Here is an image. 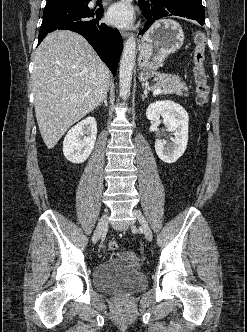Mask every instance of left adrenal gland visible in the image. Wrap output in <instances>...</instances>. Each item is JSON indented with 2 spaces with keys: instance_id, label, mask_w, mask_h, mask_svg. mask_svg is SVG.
Returning a JSON list of instances; mask_svg holds the SVG:
<instances>
[{
  "instance_id": "a2214340",
  "label": "left adrenal gland",
  "mask_w": 247,
  "mask_h": 332,
  "mask_svg": "<svg viewBox=\"0 0 247 332\" xmlns=\"http://www.w3.org/2000/svg\"><path fill=\"white\" fill-rule=\"evenodd\" d=\"M147 98V91H144V94L142 95V101H144Z\"/></svg>"
}]
</instances>
